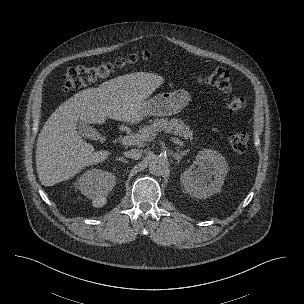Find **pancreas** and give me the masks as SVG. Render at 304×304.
I'll list each match as a JSON object with an SVG mask.
<instances>
[{
	"label": "pancreas",
	"mask_w": 304,
	"mask_h": 304,
	"mask_svg": "<svg viewBox=\"0 0 304 304\" xmlns=\"http://www.w3.org/2000/svg\"><path fill=\"white\" fill-rule=\"evenodd\" d=\"M165 131L167 133H174L183 139H193V131L180 119H155L150 121V125H145L139 129L136 136L141 137L139 143H143L150 137L155 136L158 132Z\"/></svg>",
	"instance_id": "obj_1"
}]
</instances>
